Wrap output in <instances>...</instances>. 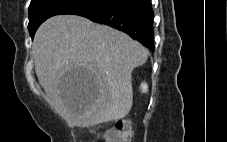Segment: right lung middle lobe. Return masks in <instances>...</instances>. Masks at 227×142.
Instances as JSON below:
<instances>
[{
    "label": "right lung middle lobe",
    "mask_w": 227,
    "mask_h": 142,
    "mask_svg": "<svg viewBox=\"0 0 227 142\" xmlns=\"http://www.w3.org/2000/svg\"><path fill=\"white\" fill-rule=\"evenodd\" d=\"M109 0H32L29 6L28 29L31 37L48 18L60 14H80L100 7Z\"/></svg>",
    "instance_id": "dd1d6c3e"
}]
</instances>
